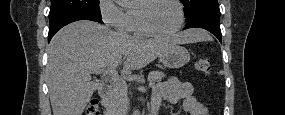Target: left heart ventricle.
I'll use <instances>...</instances> for the list:
<instances>
[{"instance_id":"b2bd125f","label":"left heart ventricle","mask_w":285,"mask_h":115,"mask_svg":"<svg viewBox=\"0 0 285 115\" xmlns=\"http://www.w3.org/2000/svg\"><path fill=\"white\" fill-rule=\"evenodd\" d=\"M148 24L155 30L168 32L178 25V9L167 0L156 1L142 10Z\"/></svg>"}]
</instances>
